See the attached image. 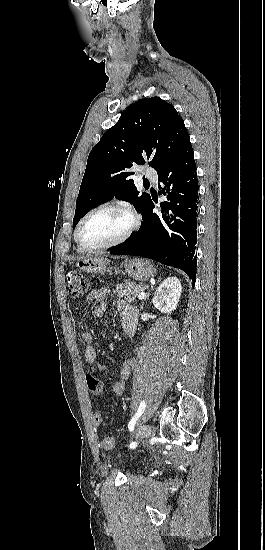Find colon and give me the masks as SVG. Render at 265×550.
I'll list each match as a JSON object with an SVG mask.
<instances>
[{
    "label": "colon",
    "instance_id": "obj_1",
    "mask_svg": "<svg viewBox=\"0 0 265 550\" xmlns=\"http://www.w3.org/2000/svg\"><path fill=\"white\" fill-rule=\"evenodd\" d=\"M66 282L68 286V293L71 297H79L89 290V280L76 270H69L66 273ZM86 383L91 394L95 397H99L101 394V385L99 380L92 375H88L86 377ZM94 418L96 420H100L101 416L96 413ZM114 444L115 440L113 436H105L102 440V446L106 449L113 448Z\"/></svg>",
    "mask_w": 265,
    "mask_h": 550
}]
</instances>
